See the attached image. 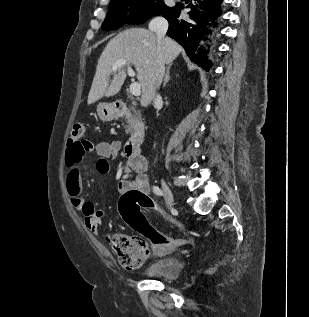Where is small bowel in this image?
Instances as JSON below:
<instances>
[{
    "instance_id": "small-bowel-1",
    "label": "small bowel",
    "mask_w": 309,
    "mask_h": 317,
    "mask_svg": "<svg viewBox=\"0 0 309 317\" xmlns=\"http://www.w3.org/2000/svg\"><path fill=\"white\" fill-rule=\"evenodd\" d=\"M86 142L81 147L83 157L74 163H67L66 172V189L74 208L83 214L84 226L94 235L99 234V227L102 224L103 212L99 210L92 202L87 201L83 197V184L80 173V163L86 154L93 149L97 155L94 162L95 170L100 174H106L109 171V163L116 159L122 149V144L118 140L102 141L95 146ZM147 161L144 156L137 155L128 157L123 168L124 176L118 182V191L124 194L130 190H138L145 194H149L150 185L146 175ZM162 210V209H161ZM163 211V210H162ZM167 249L162 247H154L153 251L156 255L164 253Z\"/></svg>"
}]
</instances>
